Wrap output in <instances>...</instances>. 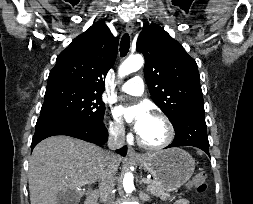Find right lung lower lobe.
<instances>
[{
    "label": "right lung lower lobe",
    "instance_id": "1",
    "mask_svg": "<svg viewBox=\"0 0 253 204\" xmlns=\"http://www.w3.org/2000/svg\"><path fill=\"white\" fill-rule=\"evenodd\" d=\"M54 135H67L98 145L104 144L107 140V130L104 124L102 126H93L67 118L39 117L32 139L31 150L41 140ZM126 152V146L117 150V153L122 156H125Z\"/></svg>",
    "mask_w": 253,
    "mask_h": 204
}]
</instances>
